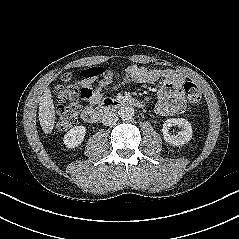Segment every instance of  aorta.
Segmentation results:
<instances>
[{
	"label": "aorta",
	"instance_id": "762f6f07",
	"mask_svg": "<svg viewBox=\"0 0 239 239\" xmlns=\"http://www.w3.org/2000/svg\"><path fill=\"white\" fill-rule=\"evenodd\" d=\"M119 116L123 120H129L132 119L134 116V109L132 106L125 105L122 106L119 110Z\"/></svg>",
	"mask_w": 239,
	"mask_h": 239
}]
</instances>
